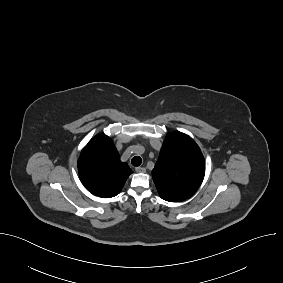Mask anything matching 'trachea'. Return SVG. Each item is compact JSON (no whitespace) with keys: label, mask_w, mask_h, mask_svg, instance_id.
Wrapping results in <instances>:
<instances>
[{"label":"trachea","mask_w":283,"mask_h":283,"mask_svg":"<svg viewBox=\"0 0 283 283\" xmlns=\"http://www.w3.org/2000/svg\"><path fill=\"white\" fill-rule=\"evenodd\" d=\"M131 163H132L133 166L138 167V166L141 165L142 159L139 156H135V157L132 158Z\"/></svg>","instance_id":"3493384b"}]
</instances>
